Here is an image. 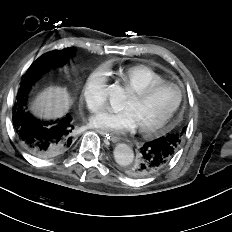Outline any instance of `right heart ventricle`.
Instances as JSON below:
<instances>
[{
    "instance_id": "1",
    "label": "right heart ventricle",
    "mask_w": 232,
    "mask_h": 232,
    "mask_svg": "<svg viewBox=\"0 0 232 232\" xmlns=\"http://www.w3.org/2000/svg\"><path fill=\"white\" fill-rule=\"evenodd\" d=\"M116 75L131 91L140 89L151 83L165 81L159 73L145 65H132L121 68L117 71Z\"/></svg>"
}]
</instances>
